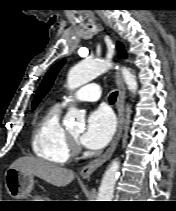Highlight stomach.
I'll use <instances>...</instances> for the list:
<instances>
[{
  "label": "stomach",
  "mask_w": 176,
  "mask_h": 211,
  "mask_svg": "<svg viewBox=\"0 0 176 211\" xmlns=\"http://www.w3.org/2000/svg\"><path fill=\"white\" fill-rule=\"evenodd\" d=\"M5 186L10 196L15 199H27L31 196L34 186L33 175L25 174L13 168L5 172ZM31 201H41L38 196Z\"/></svg>",
  "instance_id": "1"
}]
</instances>
